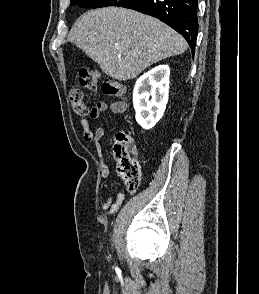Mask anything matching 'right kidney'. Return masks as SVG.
<instances>
[{
  "mask_svg": "<svg viewBox=\"0 0 259 294\" xmlns=\"http://www.w3.org/2000/svg\"><path fill=\"white\" fill-rule=\"evenodd\" d=\"M169 76V66L159 65L144 73L135 83V117L137 123L146 130L153 128L164 114L169 96Z\"/></svg>",
  "mask_w": 259,
  "mask_h": 294,
  "instance_id": "ca27d5eb",
  "label": "right kidney"
}]
</instances>
